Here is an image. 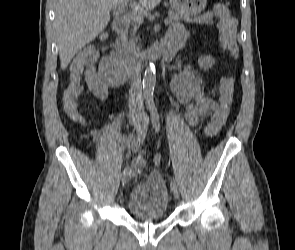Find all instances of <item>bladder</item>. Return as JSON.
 I'll return each instance as SVG.
<instances>
[{
  "instance_id": "31cf9c89",
  "label": "bladder",
  "mask_w": 295,
  "mask_h": 250,
  "mask_svg": "<svg viewBox=\"0 0 295 250\" xmlns=\"http://www.w3.org/2000/svg\"><path fill=\"white\" fill-rule=\"evenodd\" d=\"M126 207L136 219L154 221L166 218L169 195L166 183L158 171L148 174L132 188Z\"/></svg>"
}]
</instances>
